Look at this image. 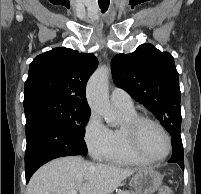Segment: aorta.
Masks as SVG:
<instances>
[{"mask_svg": "<svg viewBox=\"0 0 201 194\" xmlns=\"http://www.w3.org/2000/svg\"><path fill=\"white\" fill-rule=\"evenodd\" d=\"M109 68L100 66L93 73L87 83V100L92 111L101 115L105 122L113 124L117 114L108 99Z\"/></svg>", "mask_w": 201, "mask_h": 194, "instance_id": "1", "label": "aorta"}]
</instances>
